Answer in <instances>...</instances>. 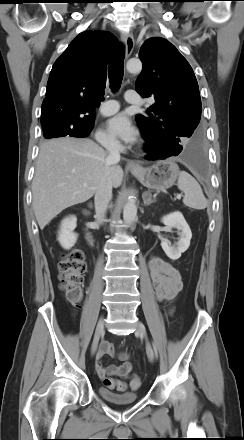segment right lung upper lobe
Listing matches in <instances>:
<instances>
[{"label":"right lung upper lobe","mask_w":244,"mask_h":440,"mask_svg":"<svg viewBox=\"0 0 244 440\" xmlns=\"http://www.w3.org/2000/svg\"><path fill=\"white\" fill-rule=\"evenodd\" d=\"M117 39L107 31L80 33L54 63L41 121L60 120L75 126L94 121L93 110L104 95L107 64Z\"/></svg>","instance_id":"obj_1"}]
</instances>
